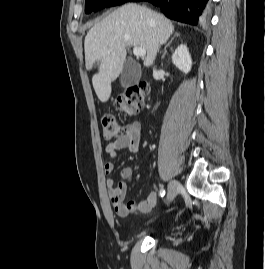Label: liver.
<instances>
[{
	"instance_id": "1",
	"label": "liver",
	"mask_w": 265,
	"mask_h": 269,
	"mask_svg": "<svg viewBox=\"0 0 265 269\" xmlns=\"http://www.w3.org/2000/svg\"><path fill=\"white\" fill-rule=\"evenodd\" d=\"M173 31L174 25L164 15L136 4L123 5L95 24L85 37L84 50L86 69L98 65L92 83L99 100L109 99L111 83L123 70L128 46L143 48L144 66L149 67Z\"/></svg>"
}]
</instances>
